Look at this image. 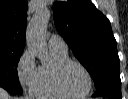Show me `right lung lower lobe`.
Listing matches in <instances>:
<instances>
[{
  "mask_svg": "<svg viewBox=\"0 0 128 99\" xmlns=\"http://www.w3.org/2000/svg\"><path fill=\"white\" fill-rule=\"evenodd\" d=\"M0 87H2V86H0ZM2 88L6 89L8 92H14V91H12L11 89H9L7 87H2Z\"/></svg>",
  "mask_w": 128,
  "mask_h": 99,
  "instance_id": "right-lung-lower-lobe-1",
  "label": "right lung lower lobe"
}]
</instances>
